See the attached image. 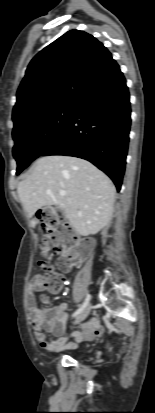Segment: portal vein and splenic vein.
Listing matches in <instances>:
<instances>
[{
    "label": "portal vein and splenic vein",
    "instance_id": "portal-vein-and-splenic-vein-1",
    "mask_svg": "<svg viewBox=\"0 0 155 413\" xmlns=\"http://www.w3.org/2000/svg\"><path fill=\"white\" fill-rule=\"evenodd\" d=\"M59 194H60L61 196H64V195H66V191L61 190V191L59 192Z\"/></svg>",
    "mask_w": 155,
    "mask_h": 413
}]
</instances>
